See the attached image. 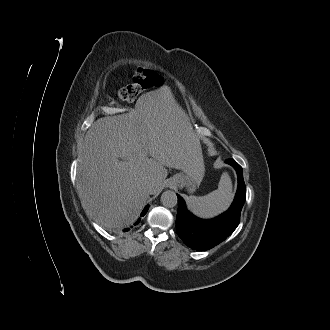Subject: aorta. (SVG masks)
<instances>
[{"mask_svg": "<svg viewBox=\"0 0 330 330\" xmlns=\"http://www.w3.org/2000/svg\"><path fill=\"white\" fill-rule=\"evenodd\" d=\"M178 198L174 191L167 190L161 195V203L167 208H173L177 205Z\"/></svg>", "mask_w": 330, "mask_h": 330, "instance_id": "1", "label": "aorta"}]
</instances>
